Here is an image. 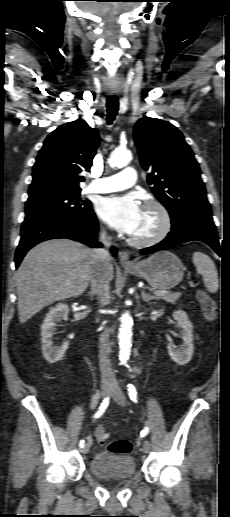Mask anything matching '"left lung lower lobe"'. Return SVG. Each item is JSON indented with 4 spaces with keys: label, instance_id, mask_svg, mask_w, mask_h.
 Returning a JSON list of instances; mask_svg holds the SVG:
<instances>
[{
    "label": "left lung lower lobe",
    "instance_id": "obj_1",
    "mask_svg": "<svg viewBox=\"0 0 230 517\" xmlns=\"http://www.w3.org/2000/svg\"><path fill=\"white\" fill-rule=\"evenodd\" d=\"M192 240L202 241L211 246L217 254L222 256L223 250L220 247L217 230L211 218L200 219L186 224L184 228L173 230L160 243L141 249L142 255L154 253L164 248L185 243Z\"/></svg>",
    "mask_w": 230,
    "mask_h": 517
}]
</instances>
